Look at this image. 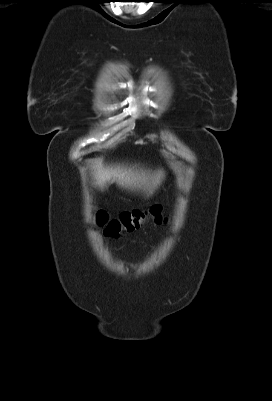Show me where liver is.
I'll return each mask as SVG.
<instances>
[{
    "label": "liver",
    "instance_id": "1",
    "mask_svg": "<svg viewBox=\"0 0 272 401\" xmlns=\"http://www.w3.org/2000/svg\"><path fill=\"white\" fill-rule=\"evenodd\" d=\"M96 183L99 187L104 188L107 184L116 182L119 186L126 188H137L149 191L152 193L153 189L160 184L163 178V172L157 171L152 174L150 172L133 170L131 168L121 166H104L98 163L94 173Z\"/></svg>",
    "mask_w": 272,
    "mask_h": 401
}]
</instances>
